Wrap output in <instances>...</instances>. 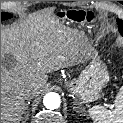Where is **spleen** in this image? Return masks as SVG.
Here are the masks:
<instances>
[{"label": "spleen", "instance_id": "1", "mask_svg": "<svg viewBox=\"0 0 123 123\" xmlns=\"http://www.w3.org/2000/svg\"><path fill=\"white\" fill-rule=\"evenodd\" d=\"M94 123H123V86L116 96L115 107L106 109L104 106H93L88 110Z\"/></svg>", "mask_w": 123, "mask_h": 123}]
</instances>
